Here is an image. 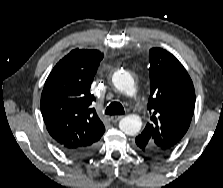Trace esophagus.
Wrapping results in <instances>:
<instances>
[{
	"instance_id": "obj_1",
	"label": "esophagus",
	"mask_w": 223,
	"mask_h": 188,
	"mask_svg": "<svg viewBox=\"0 0 223 188\" xmlns=\"http://www.w3.org/2000/svg\"><path fill=\"white\" fill-rule=\"evenodd\" d=\"M122 118H123L122 115H115V116H112V117H111V121H112L113 123H116V122H118L119 120H121Z\"/></svg>"
}]
</instances>
